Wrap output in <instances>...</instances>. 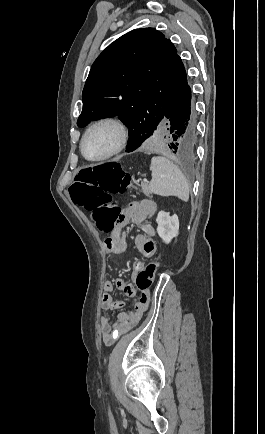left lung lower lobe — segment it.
<instances>
[{"label":"left lung lower lobe","instance_id":"0a47b994","mask_svg":"<svg viewBox=\"0 0 265 434\" xmlns=\"http://www.w3.org/2000/svg\"><path fill=\"white\" fill-rule=\"evenodd\" d=\"M160 122L165 146L168 149L183 155H190L194 152L197 142V127L191 109V89L187 81L170 102ZM156 128L142 130L136 128L129 135L126 152H132L139 148Z\"/></svg>","mask_w":265,"mask_h":434}]
</instances>
